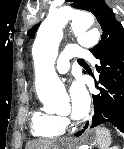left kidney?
<instances>
[{
  "instance_id": "obj_1",
  "label": "left kidney",
  "mask_w": 124,
  "mask_h": 149,
  "mask_svg": "<svg viewBox=\"0 0 124 149\" xmlns=\"http://www.w3.org/2000/svg\"><path fill=\"white\" fill-rule=\"evenodd\" d=\"M111 149H119L118 147H112Z\"/></svg>"
}]
</instances>
